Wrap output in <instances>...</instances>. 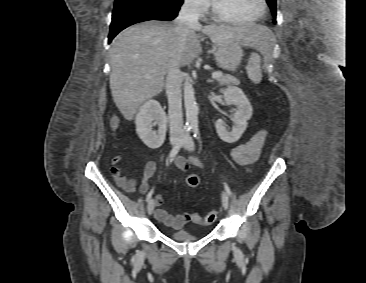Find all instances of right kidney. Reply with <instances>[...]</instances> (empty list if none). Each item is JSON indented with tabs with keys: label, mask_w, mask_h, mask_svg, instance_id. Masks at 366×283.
Masks as SVG:
<instances>
[{
	"label": "right kidney",
	"mask_w": 366,
	"mask_h": 283,
	"mask_svg": "<svg viewBox=\"0 0 366 283\" xmlns=\"http://www.w3.org/2000/svg\"><path fill=\"white\" fill-rule=\"evenodd\" d=\"M136 132L144 144L157 149L165 141L167 129V116L160 103L156 100H147L140 106L135 118ZM157 125L158 130L153 131V126Z\"/></svg>",
	"instance_id": "obj_1"
}]
</instances>
